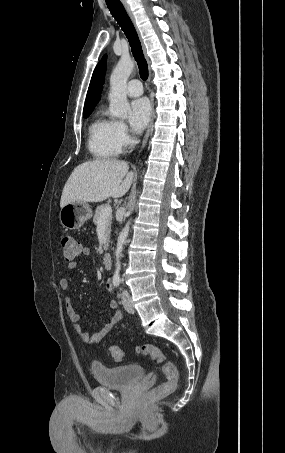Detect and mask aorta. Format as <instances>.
I'll return each mask as SVG.
<instances>
[{"label": "aorta", "instance_id": "aorta-1", "mask_svg": "<svg viewBox=\"0 0 285 453\" xmlns=\"http://www.w3.org/2000/svg\"><path fill=\"white\" fill-rule=\"evenodd\" d=\"M134 69V62L129 56H122L110 76V115L117 118L125 119L130 110V105L126 96L127 81ZM130 228V221L127 222L118 236L117 246L115 249L116 273L121 269L120 258L122 255L123 245L127 239Z\"/></svg>", "mask_w": 285, "mask_h": 453}]
</instances>
